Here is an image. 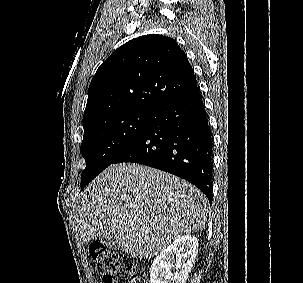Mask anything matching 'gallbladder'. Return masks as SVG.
Here are the masks:
<instances>
[{
  "instance_id": "gallbladder-1",
  "label": "gallbladder",
  "mask_w": 303,
  "mask_h": 283,
  "mask_svg": "<svg viewBox=\"0 0 303 283\" xmlns=\"http://www.w3.org/2000/svg\"><path fill=\"white\" fill-rule=\"evenodd\" d=\"M102 244L106 245L109 248L116 249L118 248V243L116 236L114 234L103 236L100 238Z\"/></svg>"
}]
</instances>
